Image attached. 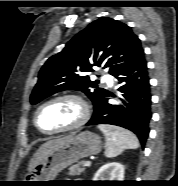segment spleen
<instances>
[{
    "mask_svg": "<svg viewBox=\"0 0 178 186\" xmlns=\"http://www.w3.org/2000/svg\"><path fill=\"white\" fill-rule=\"evenodd\" d=\"M98 128L105 135V156L114 158L125 149H137L139 142L137 137L130 131L112 125H99Z\"/></svg>",
    "mask_w": 178,
    "mask_h": 186,
    "instance_id": "spleen-1",
    "label": "spleen"
}]
</instances>
